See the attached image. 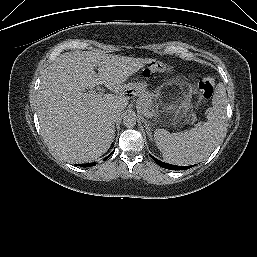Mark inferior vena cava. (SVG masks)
I'll use <instances>...</instances> for the list:
<instances>
[{"label":"inferior vena cava","mask_w":257,"mask_h":257,"mask_svg":"<svg viewBox=\"0 0 257 257\" xmlns=\"http://www.w3.org/2000/svg\"><path fill=\"white\" fill-rule=\"evenodd\" d=\"M120 116L121 114L119 112H112L110 115H109V119L110 121L112 122H116L117 120L120 119Z\"/></svg>","instance_id":"inferior-vena-cava-1"}]
</instances>
